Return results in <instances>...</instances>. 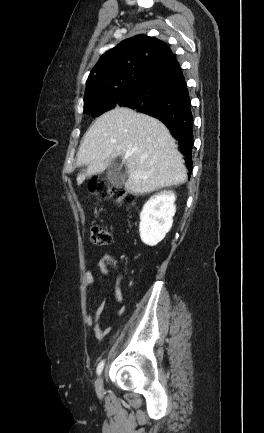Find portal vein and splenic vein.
<instances>
[{"instance_id": "1", "label": "portal vein and splenic vein", "mask_w": 264, "mask_h": 433, "mask_svg": "<svg viewBox=\"0 0 264 433\" xmlns=\"http://www.w3.org/2000/svg\"><path fill=\"white\" fill-rule=\"evenodd\" d=\"M128 157H129V155H128V154H126V155L124 156V158H125V159H128Z\"/></svg>"}]
</instances>
